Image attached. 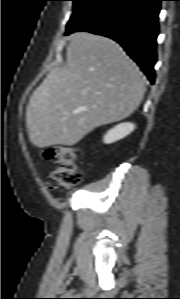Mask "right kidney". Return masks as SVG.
Here are the masks:
<instances>
[{"instance_id":"ca27d5eb","label":"right kidney","mask_w":180,"mask_h":299,"mask_svg":"<svg viewBox=\"0 0 180 299\" xmlns=\"http://www.w3.org/2000/svg\"><path fill=\"white\" fill-rule=\"evenodd\" d=\"M135 129V125L132 123H121L114 128L110 129L103 137L105 144L114 143L120 139H123L129 135Z\"/></svg>"}]
</instances>
